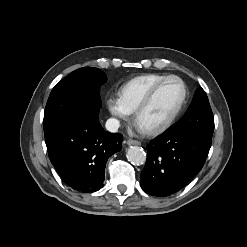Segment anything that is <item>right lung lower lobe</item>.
I'll use <instances>...</instances> for the list:
<instances>
[{
  "instance_id": "obj_1",
  "label": "right lung lower lobe",
  "mask_w": 247,
  "mask_h": 247,
  "mask_svg": "<svg viewBox=\"0 0 247 247\" xmlns=\"http://www.w3.org/2000/svg\"><path fill=\"white\" fill-rule=\"evenodd\" d=\"M44 134L50 161L66 184L83 193L103 187L106 162L122 148L120 133L104 131L94 115L54 126Z\"/></svg>"
}]
</instances>
